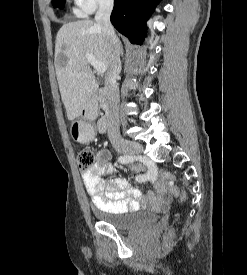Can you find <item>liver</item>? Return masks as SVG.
<instances>
[{"label":"liver","instance_id":"1","mask_svg":"<svg viewBox=\"0 0 247 275\" xmlns=\"http://www.w3.org/2000/svg\"><path fill=\"white\" fill-rule=\"evenodd\" d=\"M92 54L109 68L110 54L101 29L92 20L64 24L55 45V68L62 102L70 121L78 118L98 84L85 57Z\"/></svg>","mask_w":247,"mask_h":275}]
</instances>
